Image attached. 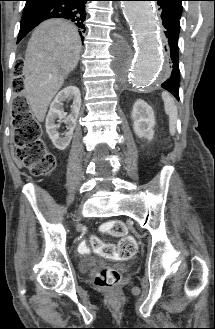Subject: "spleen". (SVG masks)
<instances>
[{"label": "spleen", "mask_w": 215, "mask_h": 329, "mask_svg": "<svg viewBox=\"0 0 215 329\" xmlns=\"http://www.w3.org/2000/svg\"><path fill=\"white\" fill-rule=\"evenodd\" d=\"M162 99L164 101L165 112L169 116L170 133L171 135H174L176 131V120L178 115V109L177 106L175 105V101L173 97L169 93L163 92Z\"/></svg>", "instance_id": "1"}]
</instances>
